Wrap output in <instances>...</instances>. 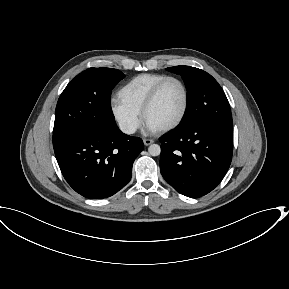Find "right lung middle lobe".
<instances>
[{
  "mask_svg": "<svg viewBox=\"0 0 289 289\" xmlns=\"http://www.w3.org/2000/svg\"><path fill=\"white\" fill-rule=\"evenodd\" d=\"M125 75L112 68H89L77 75L62 92L55 111L53 146L88 128L115 126L110 107L114 86Z\"/></svg>",
  "mask_w": 289,
  "mask_h": 289,
  "instance_id": "obj_1",
  "label": "right lung middle lobe"
}]
</instances>
